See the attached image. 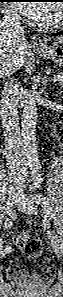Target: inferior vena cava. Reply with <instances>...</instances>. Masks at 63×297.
Instances as JSON below:
<instances>
[{"mask_svg": "<svg viewBox=\"0 0 63 297\" xmlns=\"http://www.w3.org/2000/svg\"><path fill=\"white\" fill-rule=\"evenodd\" d=\"M2 36L12 37L15 42L24 39V28L21 26L19 17L5 13L0 22ZM8 71H3V91L1 94L0 113L4 128V144L6 148L7 165L11 174L19 182H24L27 175L26 161L22 151L18 120V100L16 97L17 85ZM9 77L10 80H6Z\"/></svg>", "mask_w": 63, "mask_h": 297, "instance_id": "inferior-vena-cava-1", "label": "inferior vena cava"}]
</instances>
